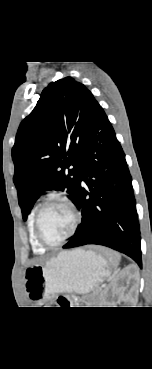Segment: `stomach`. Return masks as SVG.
I'll list each match as a JSON object with an SVG mask.
<instances>
[{"instance_id":"0dacf381","label":"stomach","mask_w":152,"mask_h":369,"mask_svg":"<svg viewBox=\"0 0 152 369\" xmlns=\"http://www.w3.org/2000/svg\"><path fill=\"white\" fill-rule=\"evenodd\" d=\"M110 273L111 268L101 255L76 249L29 266L24 273V283L30 300L44 302L61 292L89 293Z\"/></svg>"}]
</instances>
